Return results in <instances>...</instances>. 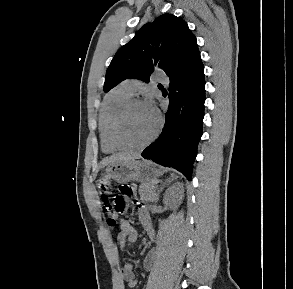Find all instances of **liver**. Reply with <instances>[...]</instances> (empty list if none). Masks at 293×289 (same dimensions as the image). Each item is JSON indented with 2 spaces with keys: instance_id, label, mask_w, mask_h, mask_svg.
<instances>
[{
  "instance_id": "obj_1",
  "label": "liver",
  "mask_w": 293,
  "mask_h": 289,
  "mask_svg": "<svg viewBox=\"0 0 293 289\" xmlns=\"http://www.w3.org/2000/svg\"><path fill=\"white\" fill-rule=\"evenodd\" d=\"M140 156L139 154H135V153H117V154H114L110 157H107L105 158L103 161H102V166L105 167V166H109L115 162H118V161H130V160H135V159H138Z\"/></svg>"
}]
</instances>
